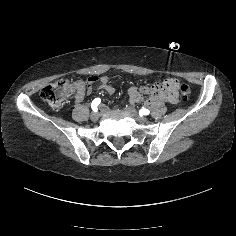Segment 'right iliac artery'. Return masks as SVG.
Returning <instances> with one entry per match:
<instances>
[{
  "label": "right iliac artery",
  "instance_id": "1",
  "mask_svg": "<svg viewBox=\"0 0 236 236\" xmlns=\"http://www.w3.org/2000/svg\"><path fill=\"white\" fill-rule=\"evenodd\" d=\"M100 102H101L100 98H95L92 101L91 108L93 109V111L97 112V110H98L97 106L100 104Z\"/></svg>",
  "mask_w": 236,
  "mask_h": 236
}]
</instances>
